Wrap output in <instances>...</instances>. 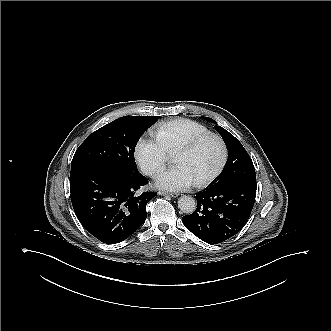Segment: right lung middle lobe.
<instances>
[{"mask_svg": "<svg viewBox=\"0 0 331 331\" xmlns=\"http://www.w3.org/2000/svg\"><path fill=\"white\" fill-rule=\"evenodd\" d=\"M155 121L156 118L124 116L93 132L76 150L70 177L87 169L110 170L127 179L139 177L135 146Z\"/></svg>", "mask_w": 331, "mask_h": 331, "instance_id": "right-lung-middle-lobe-1", "label": "right lung middle lobe"}]
</instances>
